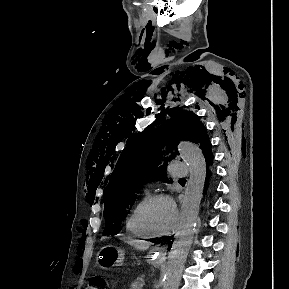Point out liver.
Segmentation results:
<instances>
[{
    "instance_id": "obj_1",
    "label": "liver",
    "mask_w": 289,
    "mask_h": 289,
    "mask_svg": "<svg viewBox=\"0 0 289 289\" xmlns=\"http://www.w3.org/2000/svg\"><path fill=\"white\" fill-rule=\"evenodd\" d=\"M130 245L134 246L138 249H146L148 248V244L139 240H128L127 241Z\"/></svg>"
}]
</instances>
